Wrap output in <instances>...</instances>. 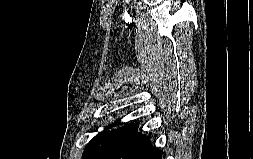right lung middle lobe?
Returning <instances> with one entry per match:
<instances>
[{
	"label": "right lung middle lobe",
	"mask_w": 253,
	"mask_h": 159,
	"mask_svg": "<svg viewBox=\"0 0 253 159\" xmlns=\"http://www.w3.org/2000/svg\"><path fill=\"white\" fill-rule=\"evenodd\" d=\"M138 124H130L113 131L102 132L96 135L86 146L82 159H96L110 146L137 129Z\"/></svg>",
	"instance_id": "obj_1"
}]
</instances>
